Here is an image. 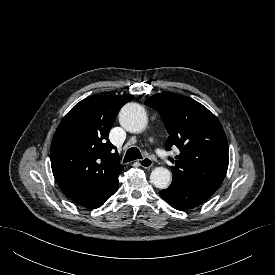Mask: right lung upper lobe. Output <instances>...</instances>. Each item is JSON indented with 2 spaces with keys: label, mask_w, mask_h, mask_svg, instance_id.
Here are the masks:
<instances>
[{
  "label": "right lung upper lobe",
  "mask_w": 275,
  "mask_h": 275,
  "mask_svg": "<svg viewBox=\"0 0 275 275\" xmlns=\"http://www.w3.org/2000/svg\"><path fill=\"white\" fill-rule=\"evenodd\" d=\"M132 95H93L77 103L60 122L51 144L54 178L66 197L112 185L121 171L108 140L120 108Z\"/></svg>",
  "instance_id": "cb5924a9"
}]
</instances>
